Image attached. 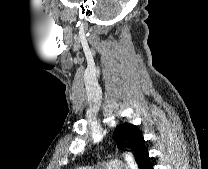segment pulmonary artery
Here are the masks:
<instances>
[{
	"mask_svg": "<svg viewBox=\"0 0 208 169\" xmlns=\"http://www.w3.org/2000/svg\"><path fill=\"white\" fill-rule=\"evenodd\" d=\"M127 169L119 159L108 160L104 165L92 166V165H84L80 166L77 169Z\"/></svg>",
	"mask_w": 208,
	"mask_h": 169,
	"instance_id": "obj_1",
	"label": "pulmonary artery"
}]
</instances>
